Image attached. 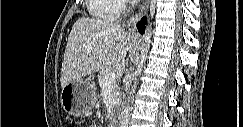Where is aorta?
Here are the masks:
<instances>
[{
	"label": "aorta",
	"instance_id": "762f6f07",
	"mask_svg": "<svg viewBox=\"0 0 243 127\" xmlns=\"http://www.w3.org/2000/svg\"><path fill=\"white\" fill-rule=\"evenodd\" d=\"M151 36H152L151 27L148 26V27H146L145 33L143 35V44H142V48H141L140 60H139V63H138L137 69H136L137 77L142 73L145 61L147 59V54H148L150 44H151ZM137 83H138V78L136 79V81L134 82V84L132 86V90L130 92L131 95L135 92Z\"/></svg>",
	"mask_w": 243,
	"mask_h": 127
}]
</instances>
